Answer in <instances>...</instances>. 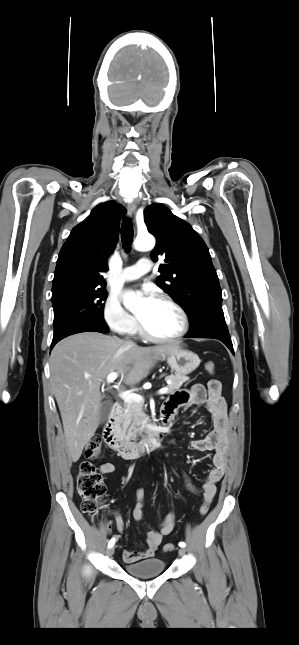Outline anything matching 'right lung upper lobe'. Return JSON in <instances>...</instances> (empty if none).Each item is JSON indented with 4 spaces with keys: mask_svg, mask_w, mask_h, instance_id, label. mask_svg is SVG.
Instances as JSON below:
<instances>
[{
    "mask_svg": "<svg viewBox=\"0 0 299 645\" xmlns=\"http://www.w3.org/2000/svg\"><path fill=\"white\" fill-rule=\"evenodd\" d=\"M126 209L114 201L99 204L73 228L62 246L52 284V296L71 289H105L102 273L115 249L120 219Z\"/></svg>",
    "mask_w": 299,
    "mask_h": 645,
    "instance_id": "obj_1",
    "label": "right lung upper lobe"
}]
</instances>
